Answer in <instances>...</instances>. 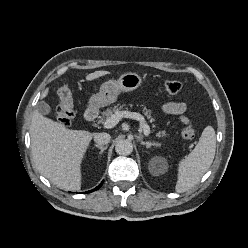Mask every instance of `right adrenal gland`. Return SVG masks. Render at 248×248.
Returning a JSON list of instances; mask_svg holds the SVG:
<instances>
[{"label":"right adrenal gland","mask_w":248,"mask_h":248,"mask_svg":"<svg viewBox=\"0 0 248 248\" xmlns=\"http://www.w3.org/2000/svg\"><path fill=\"white\" fill-rule=\"evenodd\" d=\"M94 147L100 149V154H102L104 152V150L107 149V146H102V145H98V144H95Z\"/></svg>","instance_id":"right-adrenal-gland-1"}]
</instances>
